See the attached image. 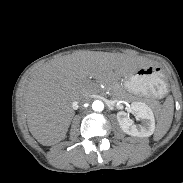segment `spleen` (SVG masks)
<instances>
[{
    "label": "spleen",
    "mask_w": 183,
    "mask_h": 183,
    "mask_svg": "<svg viewBox=\"0 0 183 183\" xmlns=\"http://www.w3.org/2000/svg\"><path fill=\"white\" fill-rule=\"evenodd\" d=\"M173 112V99L171 97H168L163 104V108L157 121L156 131L154 134L155 141L160 140L169 130L173 119Z\"/></svg>",
    "instance_id": "spleen-1"
}]
</instances>
